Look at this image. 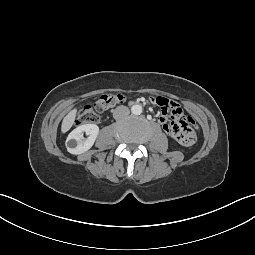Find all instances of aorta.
Returning <instances> with one entry per match:
<instances>
[{
    "mask_svg": "<svg viewBox=\"0 0 255 255\" xmlns=\"http://www.w3.org/2000/svg\"><path fill=\"white\" fill-rule=\"evenodd\" d=\"M131 112L134 115H140L142 113V107L138 104H135L131 107Z\"/></svg>",
    "mask_w": 255,
    "mask_h": 255,
    "instance_id": "762f6f07",
    "label": "aorta"
}]
</instances>
